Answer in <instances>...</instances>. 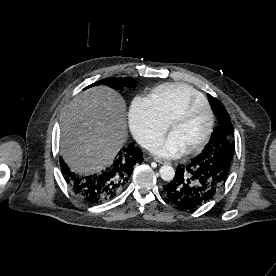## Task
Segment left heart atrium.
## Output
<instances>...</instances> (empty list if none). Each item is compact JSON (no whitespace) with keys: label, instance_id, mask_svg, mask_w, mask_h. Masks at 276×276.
<instances>
[{"label":"left heart atrium","instance_id":"obj_1","mask_svg":"<svg viewBox=\"0 0 276 276\" xmlns=\"http://www.w3.org/2000/svg\"><path fill=\"white\" fill-rule=\"evenodd\" d=\"M186 146L181 138L174 132L152 146V152L158 156L175 158L186 151Z\"/></svg>","mask_w":276,"mask_h":276}]
</instances>
